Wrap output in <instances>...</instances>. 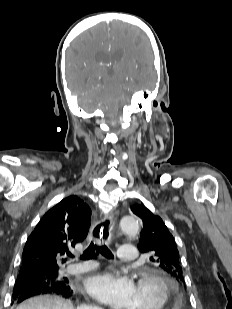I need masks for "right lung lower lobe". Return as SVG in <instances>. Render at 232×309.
<instances>
[{"label":"right lung lower lobe","mask_w":232,"mask_h":309,"mask_svg":"<svg viewBox=\"0 0 232 309\" xmlns=\"http://www.w3.org/2000/svg\"><path fill=\"white\" fill-rule=\"evenodd\" d=\"M30 265L22 266L19 273H33ZM55 293L65 298L72 296V290L68 286V281L55 286L36 284L32 280H23L17 278L13 289V300L18 303L32 296L40 294Z\"/></svg>","instance_id":"1"}]
</instances>
